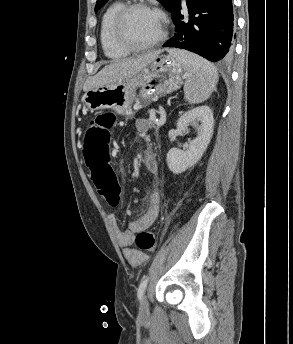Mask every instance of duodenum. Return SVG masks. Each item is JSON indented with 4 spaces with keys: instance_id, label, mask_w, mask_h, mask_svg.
<instances>
[{
    "instance_id": "1",
    "label": "duodenum",
    "mask_w": 293,
    "mask_h": 344,
    "mask_svg": "<svg viewBox=\"0 0 293 344\" xmlns=\"http://www.w3.org/2000/svg\"><path fill=\"white\" fill-rule=\"evenodd\" d=\"M144 161H145L146 163H149V159H148V158H144Z\"/></svg>"
}]
</instances>
